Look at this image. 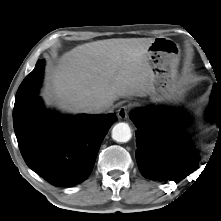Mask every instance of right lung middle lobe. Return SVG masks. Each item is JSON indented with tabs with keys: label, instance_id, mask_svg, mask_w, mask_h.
<instances>
[{
	"label": "right lung middle lobe",
	"instance_id": "1",
	"mask_svg": "<svg viewBox=\"0 0 221 221\" xmlns=\"http://www.w3.org/2000/svg\"><path fill=\"white\" fill-rule=\"evenodd\" d=\"M25 115H26V112H25V107H24V110H20V111L17 113L16 118H17L18 120H22Z\"/></svg>",
	"mask_w": 221,
	"mask_h": 221
}]
</instances>
